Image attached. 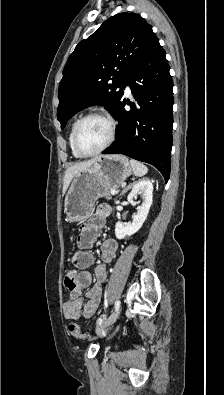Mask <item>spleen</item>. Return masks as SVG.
<instances>
[{
    "label": "spleen",
    "instance_id": "obj_1",
    "mask_svg": "<svg viewBox=\"0 0 224 395\" xmlns=\"http://www.w3.org/2000/svg\"><path fill=\"white\" fill-rule=\"evenodd\" d=\"M131 167L135 176L142 177L148 172V168L141 162L134 159L130 160Z\"/></svg>",
    "mask_w": 224,
    "mask_h": 395
}]
</instances>
